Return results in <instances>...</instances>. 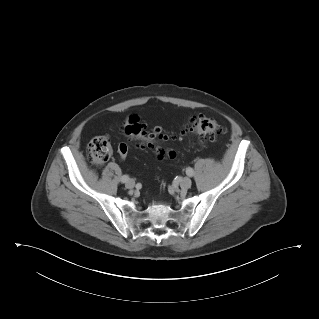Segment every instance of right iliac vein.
<instances>
[{"label": "right iliac vein", "instance_id": "right-iliac-vein-1", "mask_svg": "<svg viewBox=\"0 0 319 319\" xmlns=\"http://www.w3.org/2000/svg\"><path fill=\"white\" fill-rule=\"evenodd\" d=\"M126 188L128 189H133L135 186V182L132 179H129L126 184H125Z\"/></svg>", "mask_w": 319, "mask_h": 319}]
</instances>
